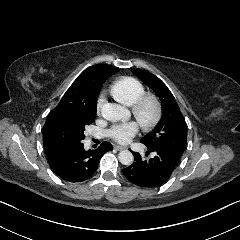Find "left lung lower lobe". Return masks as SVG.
<instances>
[{
    "label": "left lung lower lobe",
    "instance_id": "1",
    "mask_svg": "<svg viewBox=\"0 0 240 240\" xmlns=\"http://www.w3.org/2000/svg\"><path fill=\"white\" fill-rule=\"evenodd\" d=\"M149 152L155 155L149 160H142L139 153H133L135 162L123 169V174L131 183L143 188H154L164 184L180 159L162 148H148L146 154Z\"/></svg>",
    "mask_w": 240,
    "mask_h": 240
}]
</instances>
